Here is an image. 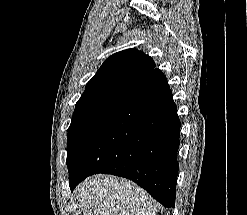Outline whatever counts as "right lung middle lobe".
Segmentation results:
<instances>
[{
	"instance_id": "right-lung-middle-lobe-1",
	"label": "right lung middle lobe",
	"mask_w": 247,
	"mask_h": 215,
	"mask_svg": "<svg viewBox=\"0 0 247 215\" xmlns=\"http://www.w3.org/2000/svg\"><path fill=\"white\" fill-rule=\"evenodd\" d=\"M128 90V88H113L82 94L76 103L73 119L68 128V170L84 135L126 95Z\"/></svg>"
}]
</instances>
